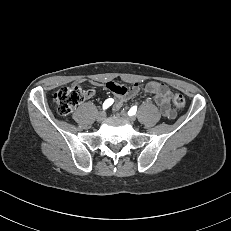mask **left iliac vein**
Masks as SVG:
<instances>
[{
    "mask_svg": "<svg viewBox=\"0 0 231 231\" xmlns=\"http://www.w3.org/2000/svg\"><path fill=\"white\" fill-rule=\"evenodd\" d=\"M120 114H121V116L124 118V119H126V120H128V121H135L136 120V117L135 116H133V115H128L127 114V112L126 111H124V110H122L121 112H120Z\"/></svg>",
    "mask_w": 231,
    "mask_h": 231,
    "instance_id": "1",
    "label": "left iliac vein"
}]
</instances>
